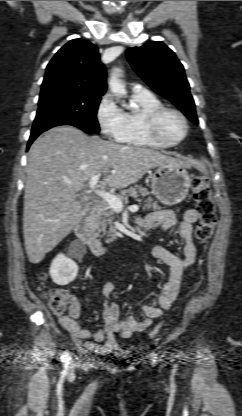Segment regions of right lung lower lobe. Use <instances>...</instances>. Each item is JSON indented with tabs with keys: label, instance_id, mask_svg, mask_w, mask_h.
<instances>
[{
	"label": "right lung lower lobe",
	"instance_id": "obj_1",
	"mask_svg": "<svg viewBox=\"0 0 242 416\" xmlns=\"http://www.w3.org/2000/svg\"><path fill=\"white\" fill-rule=\"evenodd\" d=\"M60 125H72V126H75V127H78V128H80L79 126H76V125H74V124H72V123H63V124H60ZM58 126V125H57ZM54 127V126H53ZM50 128H52V127H48V128H46V129H43V130H38V131H33V132H31V136H30V138H29V141H28V145H27V149H29V147H30V145H31V143L42 133V132H44V131H46V130H48V129H50Z\"/></svg>",
	"mask_w": 242,
	"mask_h": 416
}]
</instances>
